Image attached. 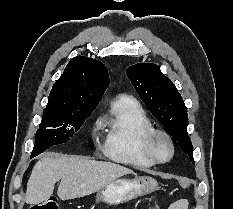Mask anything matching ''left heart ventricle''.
I'll use <instances>...</instances> for the list:
<instances>
[{"label":"left heart ventricle","instance_id":"b2bd125f","mask_svg":"<svg viewBox=\"0 0 233 209\" xmlns=\"http://www.w3.org/2000/svg\"><path fill=\"white\" fill-rule=\"evenodd\" d=\"M156 151L157 154L161 158H167L169 153H170V148L166 140L164 139H159L158 142L156 143Z\"/></svg>","mask_w":233,"mask_h":209}]
</instances>
